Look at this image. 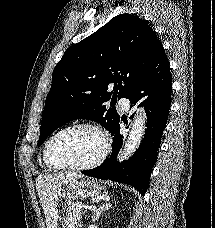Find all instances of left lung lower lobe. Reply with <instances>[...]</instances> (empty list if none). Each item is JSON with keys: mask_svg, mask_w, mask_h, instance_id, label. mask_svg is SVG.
<instances>
[{"mask_svg": "<svg viewBox=\"0 0 215 228\" xmlns=\"http://www.w3.org/2000/svg\"><path fill=\"white\" fill-rule=\"evenodd\" d=\"M171 93L169 61L162 48L147 74L127 97L133 104L144 99L139 106L146 108L147 128L139 148L127 161L117 162L116 157L123 143V136L120 134L118 123L112 133L114 138L110 157L97 168L84 170L81 173L103 180L109 179L131 185L144 195L149 186L152 167L157 160V150L160 147L162 132L166 127L171 105ZM130 107L132 108L133 105ZM133 116L134 114L130 118Z\"/></svg>", "mask_w": 215, "mask_h": 228, "instance_id": "left-lung-lower-lobe-1", "label": "left lung lower lobe"}]
</instances>
